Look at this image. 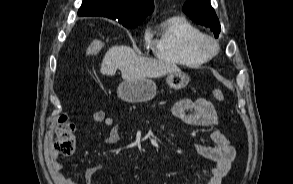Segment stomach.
I'll return each mask as SVG.
<instances>
[{
	"mask_svg": "<svg viewBox=\"0 0 293 184\" xmlns=\"http://www.w3.org/2000/svg\"><path fill=\"white\" fill-rule=\"evenodd\" d=\"M166 82L171 89L179 90L189 83V76L181 71L169 73ZM156 84L150 78L124 80L117 89L118 97L128 103H142L154 98Z\"/></svg>",
	"mask_w": 293,
	"mask_h": 184,
	"instance_id": "obj_1",
	"label": "stomach"
}]
</instances>
